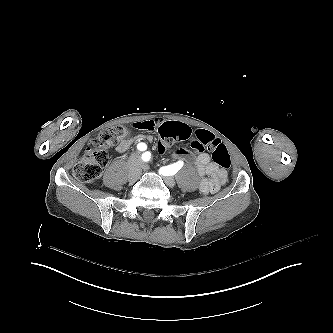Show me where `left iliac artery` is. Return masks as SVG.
Returning <instances> with one entry per match:
<instances>
[{
    "label": "left iliac artery",
    "instance_id": "44dca946",
    "mask_svg": "<svg viewBox=\"0 0 333 333\" xmlns=\"http://www.w3.org/2000/svg\"><path fill=\"white\" fill-rule=\"evenodd\" d=\"M151 158V153L150 152H145L142 155V159L144 161H149ZM183 166V162L182 161H178L174 164L165 166V167H161L159 170V173L164 175V176H169V175H174L177 173L178 170H180Z\"/></svg>",
    "mask_w": 333,
    "mask_h": 333
}]
</instances>
